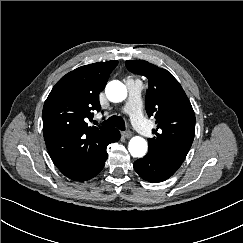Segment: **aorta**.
<instances>
[{
    "label": "aorta",
    "mask_w": 243,
    "mask_h": 243,
    "mask_svg": "<svg viewBox=\"0 0 243 243\" xmlns=\"http://www.w3.org/2000/svg\"><path fill=\"white\" fill-rule=\"evenodd\" d=\"M105 93L109 101L111 102H121L127 97L126 86L117 80L111 81L106 85ZM147 142L144 138L140 136H135L131 138L128 150L133 157H143L147 152Z\"/></svg>",
    "instance_id": "762f6f07"
}]
</instances>
